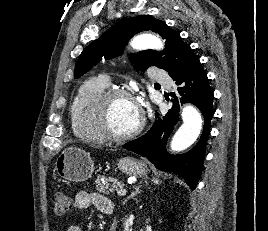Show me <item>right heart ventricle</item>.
<instances>
[{
    "instance_id": "obj_1",
    "label": "right heart ventricle",
    "mask_w": 268,
    "mask_h": 231,
    "mask_svg": "<svg viewBox=\"0 0 268 231\" xmlns=\"http://www.w3.org/2000/svg\"><path fill=\"white\" fill-rule=\"evenodd\" d=\"M108 86V82L100 78H89L80 86L69 106L72 130L77 137L96 144L106 142L97 131L94 107L96 99L108 89Z\"/></svg>"
}]
</instances>
